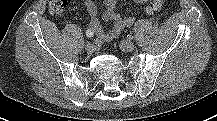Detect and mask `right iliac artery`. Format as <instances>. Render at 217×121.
Returning a JSON list of instances; mask_svg holds the SVG:
<instances>
[{
  "instance_id": "1",
  "label": "right iliac artery",
  "mask_w": 217,
  "mask_h": 121,
  "mask_svg": "<svg viewBox=\"0 0 217 121\" xmlns=\"http://www.w3.org/2000/svg\"><path fill=\"white\" fill-rule=\"evenodd\" d=\"M96 45H99L100 41L98 39L92 40Z\"/></svg>"
}]
</instances>
